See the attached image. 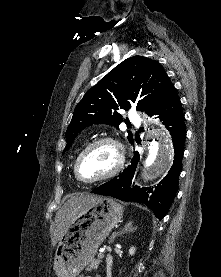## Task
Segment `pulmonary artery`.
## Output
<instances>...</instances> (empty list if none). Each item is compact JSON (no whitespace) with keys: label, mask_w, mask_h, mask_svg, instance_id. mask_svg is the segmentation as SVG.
<instances>
[{"label":"pulmonary artery","mask_w":221,"mask_h":277,"mask_svg":"<svg viewBox=\"0 0 221 277\" xmlns=\"http://www.w3.org/2000/svg\"><path fill=\"white\" fill-rule=\"evenodd\" d=\"M128 117L131 121H136L137 120V116L133 111H129Z\"/></svg>","instance_id":"pulmonary-artery-1"}]
</instances>
